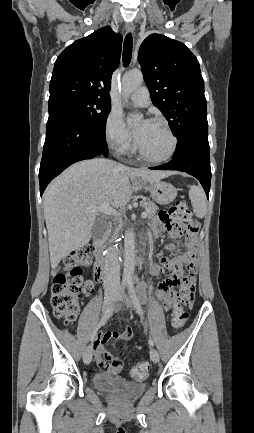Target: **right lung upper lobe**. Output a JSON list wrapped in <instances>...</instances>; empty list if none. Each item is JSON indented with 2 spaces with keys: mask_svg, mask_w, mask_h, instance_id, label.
<instances>
[{
  "mask_svg": "<svg viewBox=\"0 0 254 433\" xmlns=\"http://www.w3.org/2000/svg\"><path fill=\"white\" fill-rule=\"evenodd\" d=\"M121 45L122 36L109 27L69 45L55 62L48 105L71 98L110 102L108 92Z\"/></svg>",
  "mask_w": 254,
  "mask_h": 433,
  "instance_id": "cb5924a9",
  "label": "right lung upper lobe"
}]
</instances>
